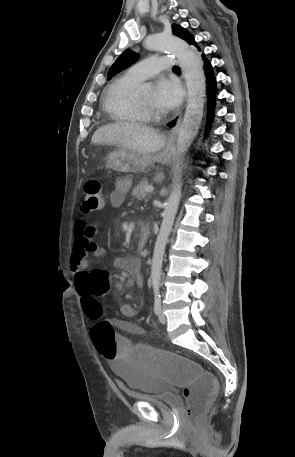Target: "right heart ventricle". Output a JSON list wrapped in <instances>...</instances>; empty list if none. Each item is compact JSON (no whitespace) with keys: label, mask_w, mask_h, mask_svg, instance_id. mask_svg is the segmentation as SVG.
<instances>
[{"label":"right heart ventricle","mask_w":295,"mask_h":457,"mask_svg":"<svg viewBox=\"0 0 295 457\" xmlns=\"http://www.w3.org/2000/svg\"><path fill=\"white\" fill-rule=\"evenodd\" d=\"M138 81L127 75L113 80L105 89L103 107L111 119L120 123L139 124L147 120V116L132 97L133 89Z\"/></svg>","instance_id":"right-heart-ventricle-1"}]
</instances>
